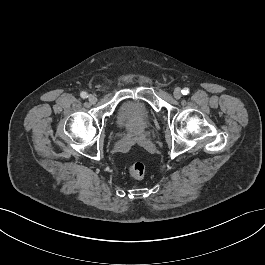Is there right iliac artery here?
Returning a JSON list of instances; mask_svg holds the SVG:
<instances>
[{
    "mask_svg": "<svg viewBox=\"0 0 265 265\" xmlns=\"http://www.w3.org/2000/svg\"><path fill=\"white\" fill-rule=\"evenodd\" d=\"M80 96L85 99L88 97V94L86 92H81Z\"/></svg>",
    "mask_w": 265,
    "mask_h": 265,
    "instance_id": "82829eb1",
    "label": "right iliac artery"
}]
</instances>
